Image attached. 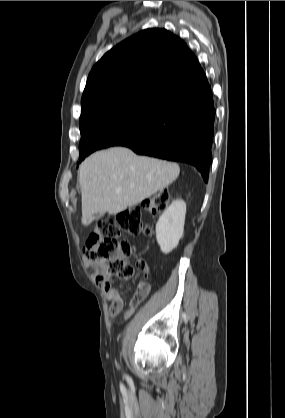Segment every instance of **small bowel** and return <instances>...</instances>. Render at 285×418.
Instances as JSON below:
<instances>
[{
    "label": "small bowel",
    "instance_id": "obj_1",
    "mask_svg": "<svg viewBox=\"0 0 285 418\" xmlns=\"http://www.w3.org/2000/svg\"><path fill=\"white\" fill-rule=\"evenodd\" d=\"M136 265L142 269V273H143L142 282H146L150 285L152 281V274L149 271L146 261L144 259H138L136 261ZM89 268L90 270L93 271L95 275H97V273L101 269V265L90 263ZM105 296L111 301L109 316L116 317L123 311V308H124V299H123L121 292L111 286L105 289ZM140 303L141 302H137L133 299L131 301L129 310L125 312V317H128L131 314L132 310L135 307H137Z\"/></svg>",
    "mask_w": 285,
    "mask_h": 418
}]
</instances>
